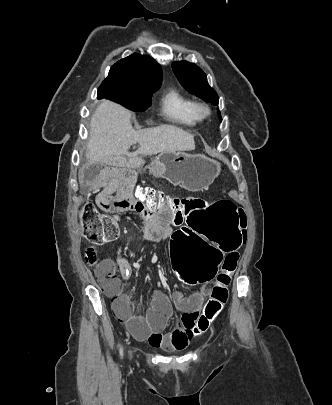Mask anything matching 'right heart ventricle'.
<instances>
[{
	"label": "right heart ventricle",
	"instance_id": "right-heart-ventricle-1",
	"mask_svg": "<svg viewBox=\"0 0 332 405\" xmlns=\"http://www.w3.org/2000/svg\"><path fill=\"white\" fill-rule=\"evenodd\" d=\"M196 101L176 88L167 90L160 99L163 116L175 123L193 126L201 119L196 114Z\"/></svg>",
	"mask_w": 332,
	"mask_h": 405
}]
</instances>
